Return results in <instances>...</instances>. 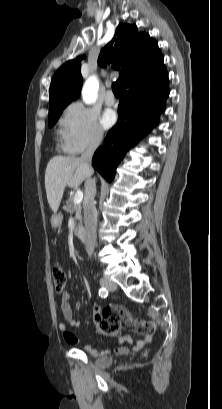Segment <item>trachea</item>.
I'll list each match as a JSON object with an SVG mask.
<instances>
[{
	"mask_svg": "<svg viewBox=\"0 0 222 409\" xmlns=\"http://www.w3.org/2000/svg\"><path fill=\"white\" fill-rule=\"evenodd\" d=\"M112 91L115 95H120L119 84L117 81L112 83Z\"/></svg>",
	"mask_w": 222,
	"mask_h": 409,
	"instance_id": "trachea-1",
	"label": "trachea"
}]
</instances>
